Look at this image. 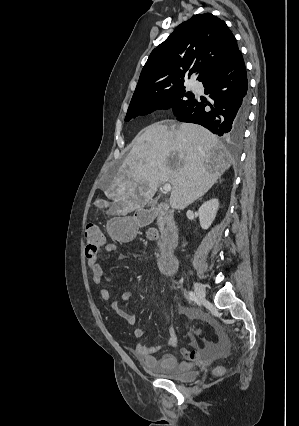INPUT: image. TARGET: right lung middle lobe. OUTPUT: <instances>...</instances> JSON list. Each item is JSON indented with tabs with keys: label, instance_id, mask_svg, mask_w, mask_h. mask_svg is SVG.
I'll use <instances>...</instances> for the list:
<instances>
[{
	"label": "right lung middle lobe",
	"instance_id": "1",
	"mask_svg": "<svg viewBox=\"0 0 299 426\" xmlns=\"http://www.w3.org/2000/svg\"><path fill=\"white\" fill-rule=\"evenodd\" d=\"M193 98L194 94L191 91H186L183 84L152 93L130 102L125 121H129L138 115L149 114L157 109L170 107H172L173 113L176 114L185 108Z\"/></svg>",
	"mask_w": 299,
	"mask_h": 426
}]
</instances>
